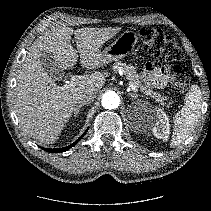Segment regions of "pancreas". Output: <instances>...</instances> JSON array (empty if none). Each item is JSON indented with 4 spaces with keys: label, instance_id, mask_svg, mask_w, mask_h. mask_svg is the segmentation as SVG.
<instances>
[{
    "label": "pancreas",
    "instance_id": "1",
    "mask_svg": "<svg viewBox=\"0 0 211 211\" xmlns=\"http://www.w3.org/2000/svg\"><path fill=\"white\" fill-rule=\"evenodd\" d=\"M113 70L114 71L121 70L126 76V79L130 83H132L136 88H140L145 95L150 96L157 102H160V104H162L163 106H169L171 104V102L168 100L166 96H161L160 94L154 92L152 89L143 86L142 80L138 75L136 68L131 64L117 62L113 65Z\"/></svg>",
    "mask_w": 211,
    "mask_h": 211
}]
</instances>
